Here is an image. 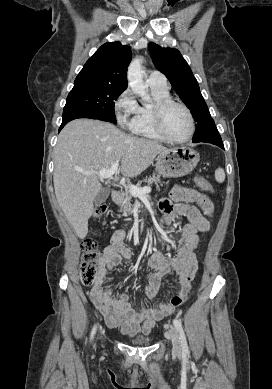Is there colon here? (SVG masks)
I'll return each mask as SVG.
<instances>
[{
	"instance_id": "5ec220e1",
	"label": "colon",
	"mask_w": 272,
	"mask_h": 389,
	"mask_svg": "<svg viewBox=\"0 0 272 389\" xmlns=\"http://www.w3.org/2000/svg\"><path fill=\"white\" fill-rule=\"evenodd\" d=\"M198 187L203 191H210L211 185L204 177H197ZM107 211L105 204L97 205L95 216L102 217ZM82 259L80 263V279L83 285L91 286L97 277V270L102 261V254L98 244L94 240H86L82 244ZM187 299V295H175L171 298L172 307L181 305Z\"/></svg>"
}]
</instances>
